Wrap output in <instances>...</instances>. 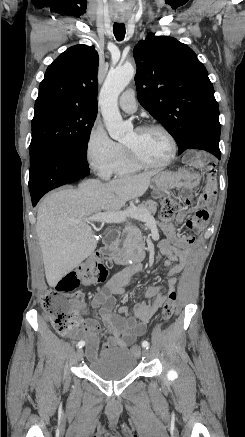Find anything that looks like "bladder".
Wrapping results in <instances>:
<instances>
[{"instance_id":"31cf9c89","label":"bladder","mask_w":245,"mask_h":437,"mask_svg":"<svg viewBox=\"0 0 245 437\" xmlns=\"http://www.w3.org/2000/svg\"><path fill=\"white\" fill-rule=\"evenodd\" d=\"M137 365V357L126 348L103 352L89 362L91 372L107 380L122 378L131 373Z\"/></svg>"}]
</instances>
